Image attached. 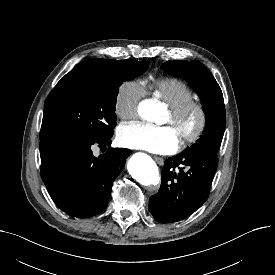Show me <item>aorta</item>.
I'll return each mask as SVG.
<instances>
[{"mask_svg":"<svg viewBox=\"0 0 275 275\" xmlns=\"http://www.w3.org/2000/svg\"><path fill=\"white\" fill-rule=\"evenodd\" d=\"M139 112L144 119L149 121H158L162 114L158 103L153 100L143 102L139 107ZM128 169L130 174L142 185H156L160 181L156 163L146 155H134L129 161Z\"/></svg>","mask_w":275,"mask_h":275,"instance_id":"aorta-1","label":"aorta"}]
</instances>
